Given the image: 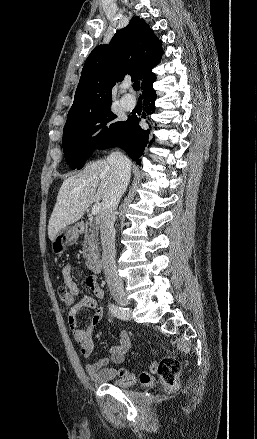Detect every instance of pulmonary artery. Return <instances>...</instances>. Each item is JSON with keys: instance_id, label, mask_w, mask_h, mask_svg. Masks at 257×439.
I'll return each mask as SVG.
<instances>
[{"instance_id": "1", "label": "pulmonary artery", "mask_w": 257, "mask_h": 439, "mask_svg": "<svg viewBox=\"0 0 257 439\" xmlns=\"http://www.w3.org/2000/svg\"><path fill=\"white\" fill-rule=\"evenodd\" d=\"M127 88H128V86H124V89H127ZM120 103L124 108L131 110L136 105V99L134 96H132L130 94H124V95H122V97L120 99Z\"/></svg>"}]
</instances>
